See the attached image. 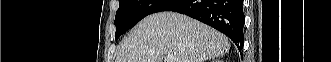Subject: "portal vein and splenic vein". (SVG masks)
I'll return each instance as SVG.
<instances>
[{
    "instance_id": "1",
    "label": "portal vein and splenic vein",
    "mask_w": 331,
    "mask_h": 62,
    "mask_svg": "<svg viewBox=\"0 0 331 62\" xmlns=\"http://www.w3.org/2000/svg\"><path fill=\"white\" fill-rule=\"evenodd\" d=\"M167 62H176V57L172 54L167 55Z\"/></svg>"
}]
</instances>
